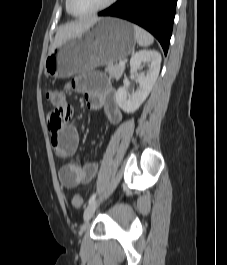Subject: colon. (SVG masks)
Masks as SVG:
<instances>
[{
	"instance_id": "colon-1",
	"label": "colon",
	"mask_w": 227,
	"mask_h": 265,
	"mask_svg": "<svg viewBox=\"0 0 227 265\" xmlns=\"http://www.w3.org/2000/svg\"><path fill=\"white\" fill-rule=\"evenodd\" d=\"M45 94L46 99L53 106V110L47 118L48 128L52 134H56L71 118L72 108L66 103L65 96L62 92L47 90ZM72 205L76 208L83 206V199L79 194L73 196Z\"/></svg>"
}]
</instances>
